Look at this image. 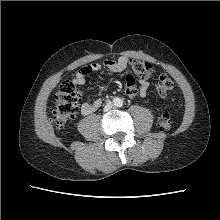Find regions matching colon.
Wrapping results in <instances>:
<instances>
[{
    "label": "colon",
    "instance_id": "5ec220e1",
    "mask_svg": "<svg viewBox=\"0 0 220 220\" xmlns=\"http://www.w3.org/2000/svg\"><path fill=\"white\" fill-rule=\"evenodd\" d=\"M130 65L133 74L126 75L125 85L127 86H136L135 76L147 79L154 74L153 66L148 62L132 60ZM155 87L159 95L165 96L174 88V81L169 75L160 74L155 81ZM80 97L81 92L75 83L72 81L61 83L54 101L55 109L52 120L56 127L63 128L74 118ZM158 125L162 129H170L172 127L171 114L167 111L163 112L158 118Z\"/></svg>",
    "mask_w": 220,
    "mask_h": 220
}]
</instances>
